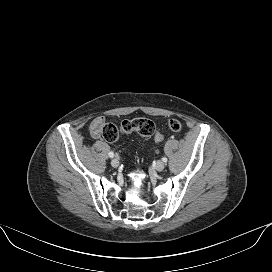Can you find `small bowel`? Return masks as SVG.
I'll return each instance as SVG.
<instances>
[{"label":"small bowel","instance_id":"obj_1","mask_svg":"<svg viewBox=\"0 0 272 272\" xmlns=\"http://www.w3.org/2000/svg\"><path fill=\"white\" fill-rule=\"evenodd\" d=\"M104 124L105 119L102 116H98L92 120L89 125V130L93 138L99 139L101 137Z\"/></svg>","mask_w":272,"mask_h":272}]
</instances>
